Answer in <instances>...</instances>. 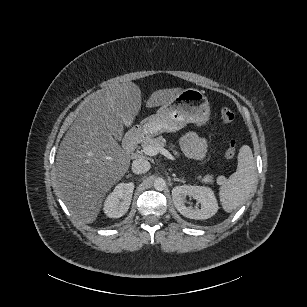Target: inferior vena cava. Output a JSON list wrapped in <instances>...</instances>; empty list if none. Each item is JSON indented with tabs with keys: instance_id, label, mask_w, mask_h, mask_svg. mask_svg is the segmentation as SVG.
I'll return each instance as SVG.
<instances>
[{
	"instance_id": "obj_1",
	"label": "inferior vena cava",
	"mask_w": 307,
	"mask_h": 307,
	"mask_svg": "<svg viewBox=\"0 0 307 307\" xmlns=\"http://www.w3.org/2000/svg\"><path fill=\"white\" fill-rule=\"evenodd\" d=\"M150 168L151 164L149 161L143 158L133 160L131 165V169L135 174L145 173L150 170Z\"/></svg>"
}]
</instances>
